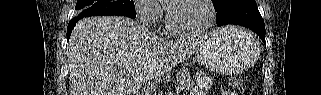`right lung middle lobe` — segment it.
Here are the masks:
<instances>
[{
  "instance_id": "dd1d6c3e",
  "label": "right lung middle lobe",
  "mask_w": 321,
  "mask_h": 95,
  "mask_svg": "<svg viewBox=\"0 0 321 95\" xmlns=\"http://www.w3.org/2000/svg\"><path fill=\"white\" fill-rule=\"evenodd\" d=\"M75 18L120 15L135 18L133 0H78Z\"/></svg>"
}]
</instances>
